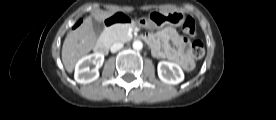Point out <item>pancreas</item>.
I'll return each instance as SVG.
<instances>
[{
  "instance_id": "obj_1",
  "label": "pancreas",
  "mask_w": 276,
  "mask_h": 120,
  "mask_svg": "<svg viewBox=\"0 0 276 120\" xmlns=\"http://www.w3.org/2000/svg\"><path fill=\"white\" fill-rule=\"evenodd\" d=\"M129 26L125 24H116L105 30L104 36L108 44L115 42H126L131 38L128 33Z\"/></svg>"
}]
</instances>
